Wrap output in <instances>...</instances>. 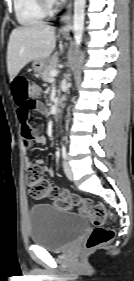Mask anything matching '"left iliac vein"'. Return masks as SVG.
Here are the masks:
<instances>
[{
	"label": "left iliac vein",
	"instance_id": "obj_1",
	"mask_svg": "<svg viewBox=\"0 0 134 281\" xmlns=\"http://www.w3.org/2000/svg\"><path fill=\"white\" fill-rule=\"evenodd\" d=\"M63 167H64L65 175L67 176V178L69 180L72 181L74 179V175H73V170H72L71 166L68 164L67 161H65L63 164Z\"/></svg>",
	"mask_w": 134,
	"mask_h": 281
}]
</instances>
